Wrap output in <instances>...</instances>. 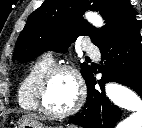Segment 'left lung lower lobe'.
Returning a JSON list of instances; mask_svg holds the SVG:
<instances>
[{
    "instance_id": "1",
    "label": "left lung lower lobe",
    "mask_w": 142,
    "mask_h": 128,
    "mask_svg": "<svg viewBox=\"0 0 142 128\" xmlns=\"http://www.w3.org/2000/svg\"><path fill=\"white\" fill-rule=\"evenodd\" d=\"M102 61L96 81L93 72L86 79L88 98L81 113L69 122L83 128H114L121 117L120 109L106 97L104 85L117 82L132 88L142 97V44L138 23L101 46ZM100 85L101 91L95 89Z\"/></svg>"
}]
</instances>
